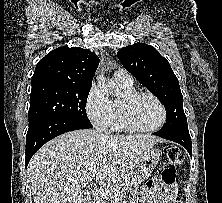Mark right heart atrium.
I'll return each mask as SVG.
<instances>
[{"label":"right heart atrium","mask_w":222,"mask_h":203,"mask_svg":"<svg viewBox=\"0 0 222 203\" xmlns=\"http://www.w3.org/2000/svg\"><path fill=\"white\" fill-rule=\"evenodd\" d=\"M85 110L89 120L97 129L105 130L110 126L113 103L97 85H93L89 90Z\"/></svg>","instance_id":"d8ad5b80"}]
</instances>
